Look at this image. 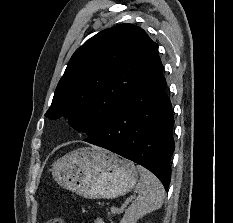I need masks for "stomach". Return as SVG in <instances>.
<instances>
[{"mask_svg":"<svg viewBox=\"0 0 233 223\" xmlns=\"http://www.w3.org/2000/svg\"><path fill=\"white\" fill-rule=\"evenodd\" d=\"M52 175L60 185L89 199H112L133 189L139 169L132 161L99 147L74 149L57 159Z\"/></svg>","mask_w":233,"mask_h":223,"instance_id":"0dacf381","label":"stomach"}]
</instances>
